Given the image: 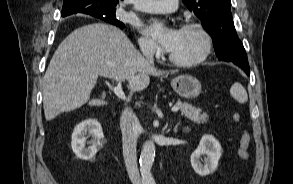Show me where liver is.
Listing matches in <instances>:
<instances>
[{
    "instance_id": "1",
    "label": "liver",
    "mask_w": 293,
    "mask_h": 184,
    "mask_svg": "<svg viewBox=\"0 0 293 184\" xmlns=\"http://www.w3.org/2000/svg\"><path fill=\"white\" fill-rule=\"evenodd\" d=\"M174 73V72H172ZM154 65L147 62L119 28L93 23L70 33L56 49L43 78L44 114L50 121L63 112H70L88 103L98 76L126 80L131 92L149 85V76H159Z\"/></svg>"
}]
</instances>
